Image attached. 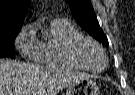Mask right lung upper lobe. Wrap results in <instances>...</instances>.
Wrapping results in <instances>:
<instances>
[{"mask_svg":"<svg viewBox=\"0 0 135 95\" xmlns=\"http://www.w3.org/2000/svg\"><path fill=\"white\" fill-rule=\"evenodd\" d=\"M30 0H0V35L20 31Z\"/></svg>","mask_w":135,"mask_h":95,"instance_id":"cb5924a9","label":"right lung upper lobe"}]
</instances>
